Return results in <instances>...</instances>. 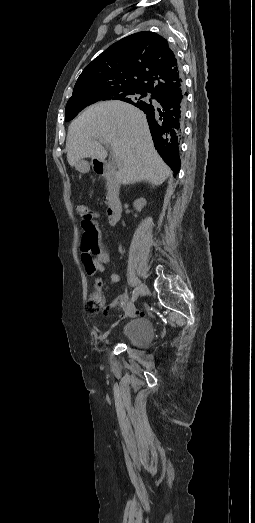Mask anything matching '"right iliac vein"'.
Listing matches in <instances>:
<instances>
[{"label":"right iliac vein","mask_w":255,"mask_h":523,"mask_svg":"<svg viewBox=\"0 0 255 523\" xmlns=\"http://www.w3.org/2000/svg\"><path fill=\"white\" fill-rule=\"evenodd\" d=\"M147 292V286L145 284H141L138 288V296H144Z\"/></svg>","instance_id":"obj_1"}]
</instances>
